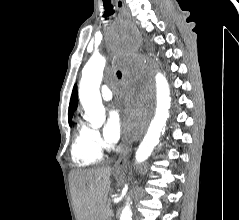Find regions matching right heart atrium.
I'll return each instance as SVG.
<instances>
[{
    "instance_id": "right-heart-atrium-1",
    "label": "right heart atrium",
    "mask_w": 239,
    "mask_h": 220,
    "mask_svg": "<svg viewBox=\"0 0 239 220\" xmlns=\"http://www.w3.org/2000/svg\"><path fill=\"white\" fill-rule=\"evenodd\" d=\"M92 141L100 150L104 147L103 139L101 138L100 133L95 129H92Z\"/></svg>"
}]
</instances>
